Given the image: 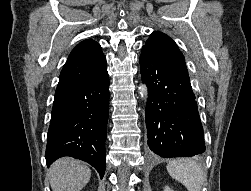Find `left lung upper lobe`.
I'll list each match as a JSON object with an SVG mask.
<instances>
[{
    "mask_svg": "<svg viewBox=\"0 0 251 191\" xmlns=\"http://www.w3.org/2000/svg\"><path fill=\"white\" fill-rule=\"evenodd\" d=\"M142 52L152 54L162 63L188 73L182 52L176 43L162 32H153L142 47Z\"/></svg>",
    "mask_w": 251,
    "mask_h": 191,
    "instance_id": "1",
    "label": "left lung upper lobe"
}]
</instances>
